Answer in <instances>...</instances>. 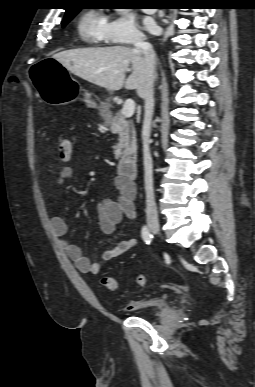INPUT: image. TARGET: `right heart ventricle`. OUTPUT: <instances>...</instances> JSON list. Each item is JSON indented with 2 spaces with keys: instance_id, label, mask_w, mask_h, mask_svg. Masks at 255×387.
Returning a JSON list of instances; mask_svg holds the SVG:
<instances>
[{
  "instance_id": "obj_1",
  "label": "right heart ventricle",
  "mask_w": 255,
  "mask_h": 387,
  "mask_svg": "<svg viewBox=\"0 0 255 387\" xmlns=\"http://www.w3.org/2000/svg\"><path fill=\"white\" fill-rule=\"evenodd\" d=\"M107 20L98 11H87L79 19L77 31L83 41L89 44H98L105 41L104 29Z\"/></svg>"
}]
</instances>
